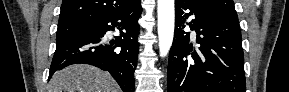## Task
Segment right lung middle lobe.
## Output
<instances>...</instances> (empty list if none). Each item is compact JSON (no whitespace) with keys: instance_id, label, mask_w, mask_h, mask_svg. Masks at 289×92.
I'll list each match as a JSON object with an SVG mask.
<instances>
[{"instance_id":"obj_1","label":"right lung middle lobe","mask_w":289,"mask_h":92,"mask_svg":"<svg viewBox=\"0 0 289 92\" xmlns=\"http://www.w3.org/2000/svg\"><path fill=\"white\" fill-rule=\"evenodd\" d=\"M87 23H71L65 25H58L57 41H60L68 36L80 32L86 27Z\"/></svg>"}]
</instances>
